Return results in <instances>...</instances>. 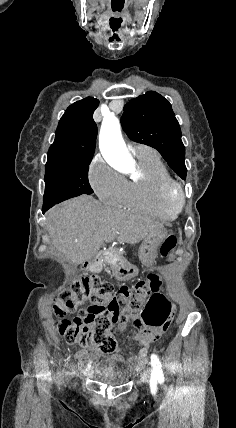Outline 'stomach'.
<instances>
[{
    "instance_id": "stomach-1",
    "label": "stomach",
    "mask_w": 236,
    "mask_h": 428,
    "mask_svg": "<svg viewBox=\"0 0 236 428\" xmlns=\"http://www.w3.org/2000/svg\"><path fill=\"white\" fill-rule=\"evenodd\" d=\"M166 236L165 230H155V232H150L146 238H144L139 250L138 256L144 264L145 268H152L155 258L158 256V248L162 244ZM116 278L120 279L121 283L128 284L129 279H137L138 271L137 268L132 264H122L121 266L116 267Z\"/></svg>"
}]
</instances>
